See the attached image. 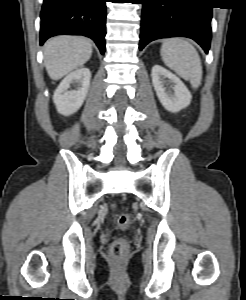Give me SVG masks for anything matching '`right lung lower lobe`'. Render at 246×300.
I'll list each match as a JSON object with an SVG mask.
<instances>
[{
    "mask_svg": "<svg viewBox=\"0 0 246 300\" xmlns=\"http://www.w3.org/2000/svg\"><path fill=\"white\" fill-rule=\"evenodd\" d=\"M106 0H44L40 44L60 34L84 35L105 52Z\"/></svg>",
    "mask_w": 246,
    "mask_h": 300,
    "instance_id": "1",
    "label": "right lung lower lobe"
}]
</instances>
